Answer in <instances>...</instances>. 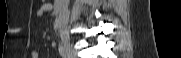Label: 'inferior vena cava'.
Listing matches in <instances>:
<instances>
[{"instance_id": "602c4592", "label": "inferior vena cava", "mask_w": 181, "mask_h": 58, "mask_svg": "<svg viewBox=\"0 0 181 58\" xmlns=\"http://www.w3.org/2000/svg\"><path fill=\"white\" fill-rule=\"evenodd\" d=\"M68 4H69V0H65V10H67Z\"/></svg>"}]
</instances>
